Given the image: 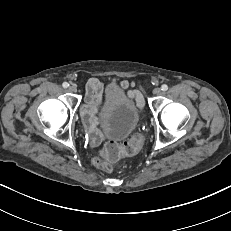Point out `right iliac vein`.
<instances>
[{
  "label": "right iliac vein",
  "instance_id": "1",
  "mask_svg": "<svg viewBox=\"0 0 231 231\" xmlns=\"http://www.w3.org/2000/svg\"><path fill=\"white\" fill-rule=\"evenodd\" d=\"M68 90L70 92H72V93H75L77 91V88H76V86L74 84H72V85L69 86Z\"/></svg>",
  "mask_w": 231,
  "mask_h": 231
}]
</instances>
